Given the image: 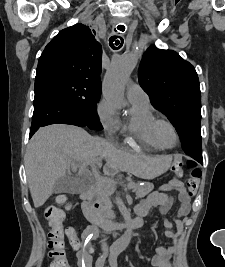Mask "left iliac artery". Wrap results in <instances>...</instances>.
<instances>
[{
  "mask_svg": "<svg viewBox=\"0 0 225 267\" xmlns=\"http://www.w3.org/2000/svg\"><path fill=\"white\" fill-rule=\"evenodd\" d=\"M119 255V251H113L110 254L109 262L111 267H117V257Z\"/></svg>",
  "mask_w": 225,
  "mask_h": 267,
  "instance_id": "obj_1",
  "label": "left iliac artery"
}]
</instances>
